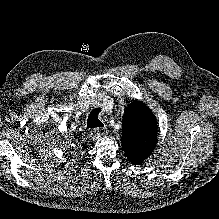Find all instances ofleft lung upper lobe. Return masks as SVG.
I'll return each mask as SVG.
<instances>
[{"mask_svg": "<svg viewBox=\"0 0 219 219\" xmlns=\"http://www.w3.org/2000/svg\"><path fill=\"white\" fill-rule=\"evenodd\" d=\"M122 147L127 159L141 164L153 152L157 143V122L154 115L140 101H135L123 117Z\"/></svg>", "mask_w": 219, "mask_h": 219, "instance_id": "left-lung-upper-lobe-1", "label": "left lung upper lobe"}]
</instances>
